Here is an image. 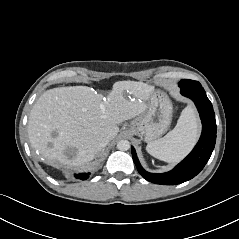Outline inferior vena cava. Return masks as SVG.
I'll return each mask as SVG.
<instances>
[{
    "mask_svg": "<svg viewBox=\"0 0 239 239\" xmlns=\"http://www.w3.org/2000/svg\"><path fill=\"white\" fill-rule=\"evenodd\" d=\"M109 143V140L107 138H103L99 141L98 144V150H102L104 147H106Z\"/></svg>",
    "mask_w": 239,
    "mask_h": 239,
    "instance_id": "obj_1",
    "label": "inferior vena cava"
}]
</instances>
